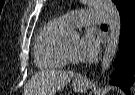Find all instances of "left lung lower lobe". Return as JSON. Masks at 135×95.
Returning a JSON list of instances; mask_svg holds the SVG:
<instances>
[{"label": "left lung lower lobe", "instance_id": "0a47b994", "mask_svg": "<svg viewBox=\"0 0 135 95\" xmlns=\"http://www.w3.org/2000/svg\"><path fill=\"white\" fill-rule=\"evenodd\" d=\"M120 51L114 62L111 83L127 94L135 72V6L121 16Z\"/></svg>", "mask_w": 135, "mask_h": 95}]
</instances>
